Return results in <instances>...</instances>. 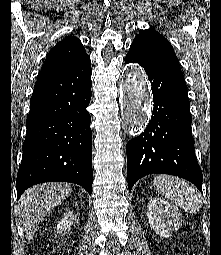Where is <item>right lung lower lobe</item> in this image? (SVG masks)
I'll list each match as a JSON object with an SVG mask.
<instances>
[{"label":"right lung lower lobe","instance_id":"obj_1","mask_svg":"<svg viewBox=\"0 0 221 255\" xmlns=\"http://www.w3.org/2000/svg\"><path fill=\"white\" fill-rule=\"evenodd\" d=\"M89 57L62 73L37 80L30 100L18 198L43 182H72L92 193Z\"/></svg>","mask_w":221,"mask_h":255}]
</instances>
